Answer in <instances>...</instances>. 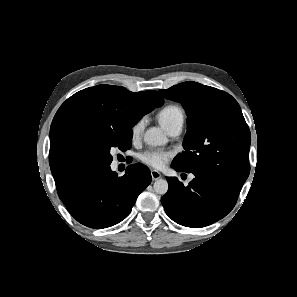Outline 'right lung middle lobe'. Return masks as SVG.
<instances>
[{
    "mask_svg": "<svg viewBox=\"0 0 297 297\" xmlns=\"http://www.w3.org/2000/svg\"><path fill=\"white\" fill-rule=\"evenodd\" d=\"M132 130L112 131L92 137L81 148V158L86 170L110 165L111 147L127 150L131 146Z\"/></svg>",
    "mask_w": 297,
    "mask_h": 297,
    "instance_id": "right-lung-middle-lobe-1",
    "label": "right lung middle lobe"
}]
</instances>
